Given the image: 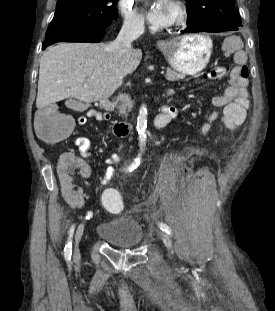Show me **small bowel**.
I'll use <instances>...</instances> for the list:
<instances>
[{
	"mask_svg": "<svg viewBox=\"0 0 275 311\" xmlns=\"http://www.w3.org/2000/svg\"><path fill=\"white\" fill-rule=\"evenodd\" d=\"M223 51L227 56H232L234 61V68L229 76V83L224 93L215 96L212 100V105L215 108L223 109L222 118H238L237 129L243 124L246 118V111L249 107V99L247 92L248 80L247 77L242 76L241 70L246 67L247 56L241 49L243 43L239 37H229L223 43ZM75 110H83L84 106L81 103H76L73 107ZM177 109L174 106L163 105L161 111L155 120V127L157 129L164 128L177 116ZM86 116L89 118H95L99 121H106L109 119L107 113L99 112L97 110H88ZM217 118V112H212L206 123L200 124L201 133H208L211 129V122ZM86 123V117H80L78 119L79 125ZM75 145L78 150H61V155H57L58 169L55 170V175L61 180L62 191L70 204L74 207H81L84 202V194L82 189L77 186L71 180H83L90 176V169L87 166V160H83L88 156L89 149L91 147V141L88 137L79 136L75 139ZM122 148V145L119 147ZM121 161V158L117 154H113L106 159L108 168L106 169L105 176L102 180L103 184H107L114 176L115 169L114 164ZM74 171V172H73Z\"/></svg>",
	"mask_w": 275,
	"mask_h": 311,
	"instance_id": "c3829d8e",
	"label": "small bowel"
}]
</instances>
